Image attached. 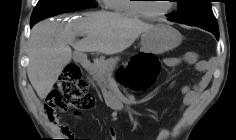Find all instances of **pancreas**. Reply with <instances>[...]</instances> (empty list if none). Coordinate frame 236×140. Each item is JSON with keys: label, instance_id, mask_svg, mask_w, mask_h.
I'll return each instance as SVG.
<instances>
[{"label": "pancreas", "instance_id": "obj_1", "mask_svg": "<svg viewBox=\"0 0 236 140\" xmlns=\"http://www.w3.org/2000/svg\"><path fill=\"white\" fill-rule=\"evenodd\" d=\"M116 61L117 59H99L91 67L90 73L103 91L110 88L109 81L116 66Z\"/></svg>", "mask_w": 236, "mask_h": 140}]
</instances>
